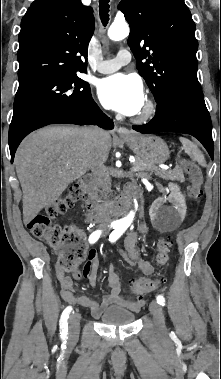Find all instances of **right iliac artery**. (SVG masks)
<instances>
[{
  "label": "right iliac artery",
  "instance_id": "right-iliac-artery-1",
  "mask_svg": "<svg viewBox=\"0 0 221 379\" xmlns=\"http://www.w3.org/2000/svg\"><path fill=\"white\" fill-rule=\"evenodd\" d=\"M110 227L117 229L118 225L117 224H111ZM101 233H102V230L94 231L89 236V243H91V244L95 243L99 239ZM71 311H72L71 306L66 307L65 310L63 311L62 315H61V318H60V333H61V337H63V338L67 335V332H68L67 319H68Z\"/></svg>",
  "mask_w": 221,
  "mask_h": 379
}]
</instances>
